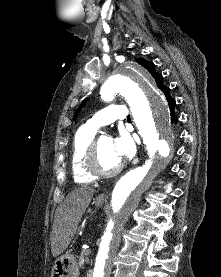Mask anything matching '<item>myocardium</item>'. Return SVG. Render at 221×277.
I'll return each mask as SVG.
<instances>
[{
  "instance_id": "myocardium-1",
  "label": "myocardium",
  "mask_w": 221,
  "mask_h": 277,
  "mask_svg": "<svg viewBox=\"0 0 221 277\" xmlns=\"http://www.w3.org/2000/svg\"><path fill=\"white\" fill-rule=\"evenodd\" d=\"M102 137L94 138L91 142L86 158H85V169L89 175L93 178H110L116 176L121 172L124 167L123 162L114 168L111 171H102L98 165V148H99V141Z\"/></svg>"
}]
</instances>
